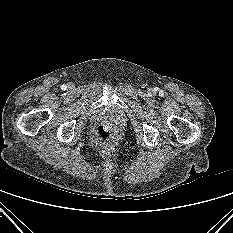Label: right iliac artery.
I'll use <instances>...</instances> for the list:
<instances>
[{
  "label": "right iliac artery",
  "instance_id": "obj_1",
  "mask_svg": "<svg viewBox=\"0 0 233 233\" xmlns=\"http://www.w3.org/2000/svg\"><path fill=\"white\" fill-rule=\"evenodd\" d=\"M66 88H67L66 85H62V86H61V89H63V90H65Z\"/></svg>",
  "mask_w": 233,
  "mask_h": 233
}]
</instances>
